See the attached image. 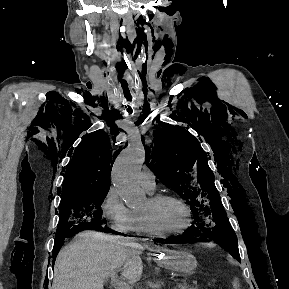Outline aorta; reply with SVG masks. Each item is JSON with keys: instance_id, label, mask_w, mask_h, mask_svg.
Wrapping results in <instances>:
<instances>
[{"instance_id": "1", "label": "aorta", "mask_w": 289, "mask_h": 289, "mask_svg": "<svg viewBox=\"0 0 289 289\" xmlns=\"http://www.w3.org/2000/svg\"><path fill=\"white\" fill-rule=\"evenodd\" d=\"M145 161V150L139 139L131 141L117 157L112 169V182L128 207L144 203L146 194L138 184V174Z\"/></svg>"}]
</instances>
